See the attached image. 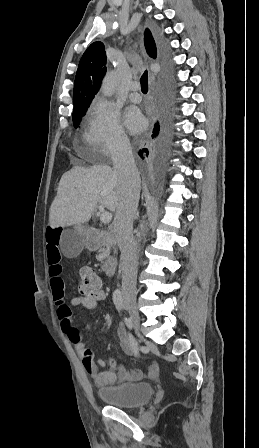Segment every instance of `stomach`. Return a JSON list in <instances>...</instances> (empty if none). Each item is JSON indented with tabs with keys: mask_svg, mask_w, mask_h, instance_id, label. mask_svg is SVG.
<instances>
[{
	"mask_svg": "<svg viewBox=\"0 0 259 448\" xmlns=\"http://www.w3.org/2000/svg\"><path fill=\"white\" fill-rule=\"evenodd\" d=\"M75 230H76L77 234H80V236H83V234H86V232H87L85 226H79V224H76Z\"/></svg>",
	"mask_w": 259,
	"mask_h": 448,
	"instance_id": "0dacf381",
	"label": "stomach"
}]
</instances>
